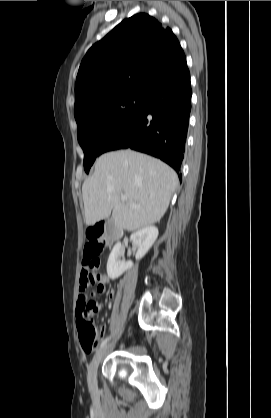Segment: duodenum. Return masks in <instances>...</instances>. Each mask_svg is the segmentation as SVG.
I'll use <instances>...</instances> for the list:
<instances>
[{
    "label": "duodenum",
    "instance_id": "1",
    "mask_svg": "<svg viewBox=\"0 0 271 418\" xmlns=\"http://www.w3.org/2000/svg\"><path fill=\"white\" fill-rule=\"evenodd\" d=\"M118 237H119V234H115V235H113V236L111 237V239L115 240V239H117Z\"/></svg>",
    "mask_w": 271,
    "mask_h": 418
}]
</instances>
